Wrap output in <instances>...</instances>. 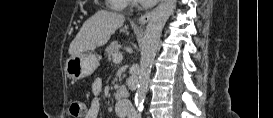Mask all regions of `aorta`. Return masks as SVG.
I'll use <instances>...</instances> for the list:
<instances>
[{"label": "aorta", "instance_id": "1", "mask_svg": "<svg viewBox=\"0 0 273 118\" xmlns=\"http://www.w3.org/2000/svg\"><path fill=\"white\" fill-rule=\"evenodd\" d=\"M176 7V0H164L156 8L147 24L141 47L140 73L135 104L139 111L144 108V99L149 81L150 70L159 46L163 27Z\"/></svg>", "mask_w": 273, "mask_h": 118}]
</instances>
